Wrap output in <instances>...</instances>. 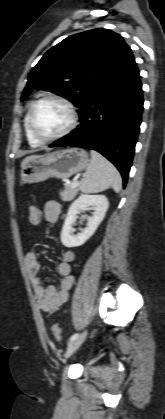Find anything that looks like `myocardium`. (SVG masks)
<instances>
[{"label": "myocardium", "mask_w": 165, "mask_h": 419, "mask_svg": "<svg viewBox=\"0 0 165 419\" xmlns=\"http://www.w3.org/2000/svg\"><path fill=\"white\" fill-rule=\"evenodd\" d=\"M48 100L59 102V103H61L62 105L65 106V108L67 109V111L69 113V123L58 134L50 136V137H43L36 131V128L34 126V112H35L37 106L40 103H42L44 101H48ZM77 121H78V113H77V110H76L75 106L73 105V103L71 101H69L67 98L59 96V95L50 94V95H45V96L39 98L38 100L33 102V104L31 105V107L28 111V128H29V131L32 134V136L40 143L54 142V141H57L59 139H62L64 137H66L76 127Z\"/></svg>", "instance_id": "1"}]
</instances>
